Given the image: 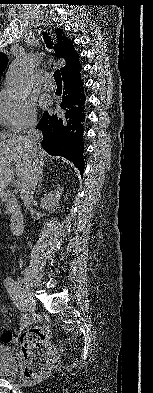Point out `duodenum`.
<instances>
[{"label": "duodenum", "instance_id": "410a0bca", "mask_svg": "<svg viewBox=\"0 0 153 393\" xmlns=\"http://www.w3.org/2000/svg\"><path fill=\"white\" fill-rule=\"evenodd\" d=\"M1 199L11 206L10 211V230L13 235H19L24 228V216L18 207L15 197L10 192H3Z\"/></svg>", "mask_w": 153, "mask_h": 393}]
</instances>
